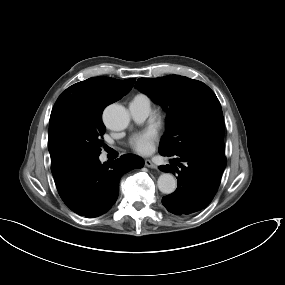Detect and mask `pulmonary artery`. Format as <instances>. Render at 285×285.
Returning <instances> with one entry per match:
<instances>
[{
  "instance_id": "1",
  "label": "pulmonary artery",
  "mask_w": 285,
  "mask_h": 285,
  "mask_svg": "<svg viewBox=\"0 0 285 285\" xmlns=\"http://www.w3.org/2000/svg\"><path fill=\"white\" fill-rule=\"evenodd\" d=\"M128 109L134 121L142 122L151 112V101L146 95H137L129 102Z\"/></svg>"
}]
</instances>
